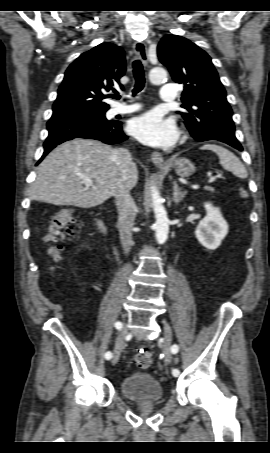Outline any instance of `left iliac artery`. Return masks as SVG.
<instances>
[{
  "label": "left iliac artery",
  "instance_id": "1",
  "mask_svg": "<svg viewBox=\"0 0 270 453\" xmlns=\"http://www.w3.org/2000/svg\"><path fill=\"white\" fill-rule=\"evenodd\" d=\"M171 351H172L173 354H176L179 351L178 345L174 344L171 347ZM172 374H173L174 377H178L179 374H180V371L177 368H175V369L172 370Z\"/></svg>",
  "mask_w": 270,
  "mask_h": 453
}]
</instances>
